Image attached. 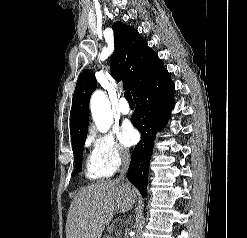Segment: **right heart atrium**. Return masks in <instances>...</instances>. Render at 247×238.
I'll return each mask as SVG.
<instances>
[{"label": "right heart atrium", "instance_id": "right-heart-atrium-1", "mask_svg": "<svg viewBox=\"0 0 247 238\" xmlns=\"http://www.w3.org/2000/svg\"><path fill=\"white\" fill-rule=\"evenodd\" d=\"M89 140L93 152L112 173L130 157L128 149L117 141L113 132L92 134Z\"/></svg>", "mask_w": 247, "mask_h": 238}]
</instances>
